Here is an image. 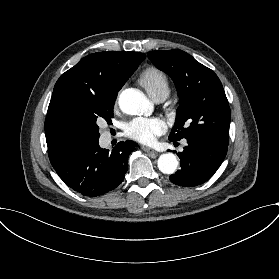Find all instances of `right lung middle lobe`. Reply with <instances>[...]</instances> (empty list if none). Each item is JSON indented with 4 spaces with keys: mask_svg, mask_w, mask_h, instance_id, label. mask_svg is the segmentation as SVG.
I'll list each match as a JSON object with an SVG mask.
<instances>
[{
    "mask_svg": "<svg viewBox=\"0 0 279 279\" xmlns=\"http://www.w3.org/2000/svg\"><path fill=\"white\" fill-rule=\"evenodd\" d=\"M119 91L76 92L64 98L55 116L60 134L77 149L99 139L97 120L111 123L113 106Z\"/></svg>",
    "mask_w": 279,
    "mask_h": 279,
    "instance_id": "1",
    "label": "right lung middle lobe"
}]
</instances>
